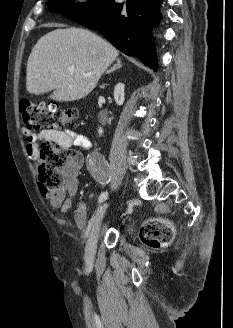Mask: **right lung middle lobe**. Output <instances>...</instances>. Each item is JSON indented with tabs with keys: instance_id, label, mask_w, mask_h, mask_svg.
I'll return each mask as SVG.
<instances>
[{
	"instance_id": "dd1d6c3e",
	"label": "right lung middle lobe",
	"mask_w": 233,
	"mask_h": 328,
	"mask_svg": "<svg viewBox=\"0 0 233 328\" xmlns=\"http://www.w3.org/2000/svg\"><path fill=\"white\" fill-rule=\"evenodd\" d=\"M100 0H91L87 3H74V0H48L47 6L51 12H61L65 16L74 13L84 11Z\"/></svg>"
}]
</instances>
